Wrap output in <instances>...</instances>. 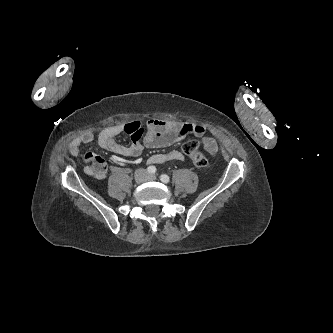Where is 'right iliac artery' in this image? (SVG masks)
Here are the masks:
<instances>
[{
	"instance_id": "1",
	"label": "right iliac artery",
	"mask_w": 333,
	"mask_h": 333,
	"mask_svg": "<svg viewBox=\"0 0 333 333\" xmlns=\"http://www.w3.org/2000/svg\"><path fill=\"white\" fill-rule=\"evenodd\" d=\"M147 171L150 173V174H154L156 172V168L154 166H149L147 168Z\"/></svg>"
}]
</instances>
